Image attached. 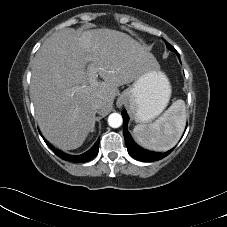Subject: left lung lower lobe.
I'll use <instances>...</instances> for the list:
<instances>
[{
	"mask_svg": "<svg viewBox=\"0 0 227 227\" xmlns=\"http://www.w3.org/2000/svg\"><path fill=\"white\" fill-rule=\"evenodd\" d=\"M122 116H123V133H124V138L126 142V147H127L128 153L133 158L139 161H157L166 157L172 152L173 149H171L170 151H167L166 153H157V152L145 150L140 146H138L134 142V140L132 139L131 135L127 130L129 117L125 109L122 111Z\"/></svg>",
	"mask_w": 227,
	"mask_h": 227,
	"instance_id": "obj_1",
	"label": "left lung lower lobe"
}]
</instances>
